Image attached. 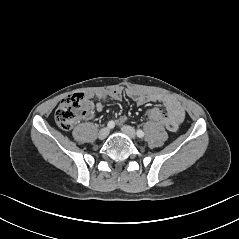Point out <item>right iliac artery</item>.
<instances>
[{
  "label": "right iliac artery",
  "mask_w": 239,
  "mask_h": 239,
  "mask_svg": "<svg viewBox=\"0 0 239 239\" xmlns=\"http://www.w3.org/2000/svg\"><path fill=\"white\" fill-rule=\"evenodd\" d=\"M107 126H108V128L112 129L115 126L114 121H109Z\"/></svg>",
  "instance_id": "1"
}]
</instances>
